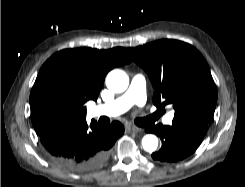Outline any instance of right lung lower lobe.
Returning <instances> with one entry per match:
<instances>
[{
	"label": "right lung lower lobe",
	"mask_w": 245,
	"mask_h": 187,
	"mask_svg": "<svg viewBox=\"0 0 245 187\" xmlns=\"http://www.w3.org/2000/svg\"><path fill=\"white\" fill-rule=\"evenodd\" d=\"M124 133L123 125L114 121L101 127L86 118L56 124L39 135L51 156L63 167L75 172H87L101 167L109 158L110 148Z\"/></svg>",
	"instance_id": "obj_1"
}]
</instances>
